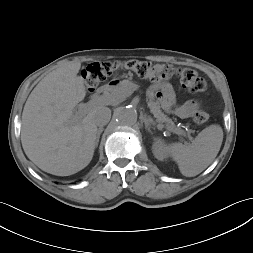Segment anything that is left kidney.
I'll use <instances>...</instances> for the list:
<instances>
[{
	"label": "left kidney",
	"mask_w": 253,
	"mask_h": 253,
	"mask_svg": "<svg viewBox=\"0 0 253 253\" xmlns=\"http://www.w3.org/2000/svg\"><path fill=\"white\" fill-rule=\"evenodd\" d=\"M152 149H153L154 156L158 160L163 161L167 157L165 144L161 139L155 140Z\"/></svg>",
	"instance_id": "5707ae66"
}]
</instances>
